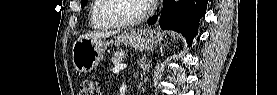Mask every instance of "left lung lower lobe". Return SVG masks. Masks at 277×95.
<instances>
[{"label": "left lung lower lobe", "mask_w": 277, "mask_h": 95, "mask_svg": "<svg viewBox=\"0 0 277 95\" xmlns=\"http://www.w3.org/2000/svg\"><path fill=\"white\" fill-rule=\"evenodd\" d=\"M208 0H163V9L159 19L162 30H174L185 36L191 46L198 33V23L205 16ZM157 16H152L148 24H154Z\"/></svg>", "instance_id": "obj_1"}]
</instances>
